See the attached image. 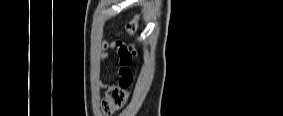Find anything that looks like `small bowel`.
Here are the masks:
<instances>
[{
    "mask_svg": "<svg viewBox=\"0 0 283 116\" xmlns=\"http://www.w3.org/2000/svg\"><path fill=\"white\" fill-rule=\"evenodd\" d=\"M102 49L105 52L115 49L117 51V59H116V66L119 71V77H126L130 73V71L126 68V65L130 61L129 55L126 53V47L121 42H108L104 41L102 43Z\"/></svg>",
    "mask_w": 283,
    "mask_h": 116,
    "instance_id": "c3829d8e",
    "label": "small bowel"
}]
</instances>
